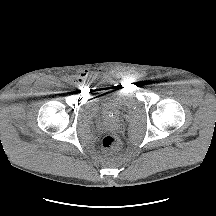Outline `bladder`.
Wrapping results in <instances>:
<instances>
[{
    "label": "bladder",
    "instance_id": "obj_1",
    "mask_svg": "<svg viewBox=\"0 0 216 216\" xmlns=\"http://www.w3.org/2000/svg\"><path fill=\"white\" fill-rule=\"evenodd\" d=\"M90 103L96 112H124L134 106L135 98L126 90L109 87L94 94Z\"/></svg>",
    "mask_w": 216,
    "mask_h": 216
}]
</instances>
